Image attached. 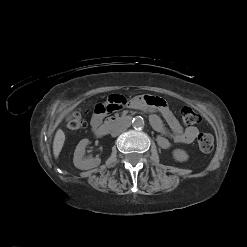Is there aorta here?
Masks as SVG:
<instances>
[{
	"label": "aorta",
	"instance_id": "obj_1",
	"mask_svg": "<svg viewBox=\"0 0 247 247\" xmlns=\"http://www.w3.org/2000/svg\"><path fill=\"white\" fill-rule=\"evenodd\" d=\"M132 125L134 128H143V126H144L143 118L140 116L133 118Z\"/></svg>",
	"mask_w": 247,
	"mask_h": 247
}]
</instances>
